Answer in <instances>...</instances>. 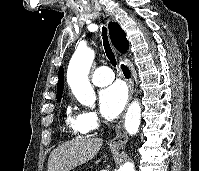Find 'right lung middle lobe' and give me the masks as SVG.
<instances>
[{"mask_svg": "<svg viewBox=\"0 0 199 171\" xmlns=\"http://www.w3.org/2000/svg\"><path fill=\"white\" fill-rule=\"evenodd\" d=\"M57 101L59 102V101H60V98H59V99H57Z\"/></svg>", "mask_w": 199, "mask_h": 171, "instance_id": "obj_1", "label": "right lung middle lobe"}]
</instances>
